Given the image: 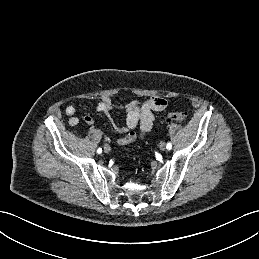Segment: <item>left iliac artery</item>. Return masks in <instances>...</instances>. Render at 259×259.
Listing matches in <instances>:
<instances>
[{
	"instance_id": "44dca946",
	"label": "left iliac artery",
	"mask_w": 259,
	"mask_h": 259,
	"mask_svg": "<svg viewBox=\"0 0 259 259\" xmlns=\"http://www.w3.org/2000/svg\"><path fill=\"white\" fill-rule=\"evenodd\" d=\"M166 148H167L168 150H170V149L172 148V144H171V143H167Z\"/></svg>"
}]
</instances>
